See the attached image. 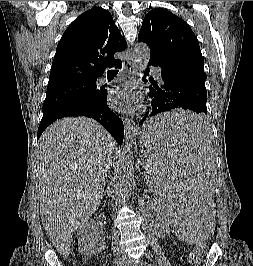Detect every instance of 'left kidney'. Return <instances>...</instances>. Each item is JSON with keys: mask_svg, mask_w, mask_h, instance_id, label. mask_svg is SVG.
<instances>
[{"mask_svg": "<svg viewBox=\"0 0 253 266\" xmlns=\"http://www.w3.org/2000/svg\"><path fill=\"white\" fill-rule=\"evenodd\" d=\"M164 222V221H163ZM165 223H166V225L169 227V225H171V222L170 221H168L167 222V220L165 219Z\"/></svg>", "mask_w": 253, "mask_h": 266, "instance_id": "left-kidney-1", "label": "left kidney"}]
</instances>
